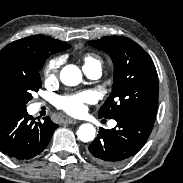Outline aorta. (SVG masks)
Listing matches in <instances>:
<instances>
[{"label":"aorta","mask_w":183,"mask_h":183,"mask_svg":"<svg viewBox=\"0 0 183 183\" xmlns=\"http://www.w3.org/2000/svg\"><path fill=\"white\" fill-rule=\"evenodd\" d=\"M60 80L64 85L76 86L82 82V73L80 69L73 64L66 65L60 72ZM96 135L95 127L90 123L80 125L77 130L78 139L82 142L94 140Z\"/></svg>","instance_id":"aorta-1"}]
</instances>
